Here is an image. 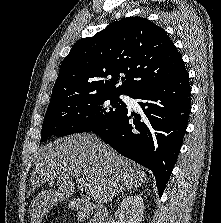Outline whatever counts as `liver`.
Returning a JSON list of instances; mask_svg holds the SVG:
<instances>
[{
	"mask_svg": "<svg viewBox=\"0 0 221 223\" xmlns=\"http://www.w3.org/2000/svg\"><path fill=\"white\" fill-rule=\"evenodd\" d=\"M73 178L94 190V200L107 204L124 190L134 189L147 180L146 174L131 160L121 156L92 134H74L39 150L31 175V191L56 181V190L38 193L30 212L31 223H41L56 205L70 198Z\"/></svg>",
	"mask_w": 221,
	"mask_h": 223,
	"instance_id": "1",
	"label": "liver"
}]
</instances>
